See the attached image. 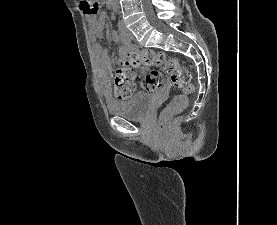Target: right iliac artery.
I'll return each instance as SVG.
<instances>
[{
	"mask_svg": "<svg viewBox=\"0 0 277 225\" xmlns=\"http://www.w3.org/2000/svg\"><path fill=\"white\" fill-rule=\"evenodd\" d=\"M119 36L124 44L130 43V39L124 33L120 32Z\"/></svg>",
	"mask_w": 277,
	"mask_h": 225,
	"instance_id": "obj_1",
	"label": "right iliac artery"
}]
</instances>
